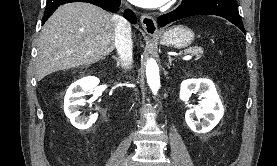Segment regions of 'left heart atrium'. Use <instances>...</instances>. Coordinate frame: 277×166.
Instances as JSON below:
<instances>
[{
  "instance_id": "1",
  "label": "left heart atrium",
  "mask_w": 277,
  "mask_h": 166,
  "mask_svg": "<svg viewBox=\"0 0 277 166\" xmlns=\"http://www.w3.org/2000/svg\"><path fill=\"white\" fill-rule=\"evenodd\" d=\"M131 3L143 8H157L166 4L169 0H129Z\"/></svg>"
}]
</instances>
